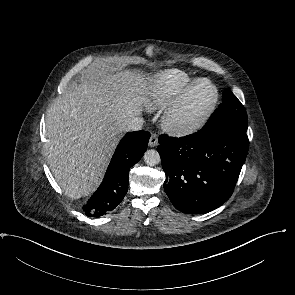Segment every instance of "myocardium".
Masks as SVG:
<instances>
[{"label":"myocardium","instance_id":"myocardium-1","mask_svg":"<svg viewBox=\"0 0 295 295\" xmlns=\"http://www.w3.org/2000/svg\"><path fill=\"white\" fill-rule=\"evenodd\" d=\"M202 82L209 83L214 89L213 100L206 110V112L198 119L186 123L180 119V113L186 103L187 99L195 88ZM220 93L217 85L208 78H198L191 82L170 104L163 115V126L171 135L176 137H186L197 133L202 128H204L214 115L218 103H219Z\"/></svg>","mask_w":295,"mask_h":295}]
</instances>
